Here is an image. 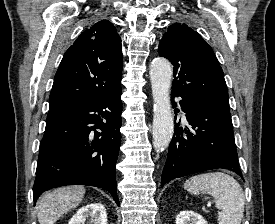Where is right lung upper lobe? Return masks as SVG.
<instances>
[{"mask_svg":"<svg viewBox=\"0 0 275 224\" xmlns=\"http://www.w3.org/2000/svg\"><path fill=\"white\" fill-rule=\"evenodd\" d=\"M121 38L108 20L85 30L66 51L54 78L49 108L83 104L121 88Z\"/></svg>","mask_w":275,"mask_h":224,"instance_id":"obj_1","label":"right lung upper lobe"}]
</instances>
